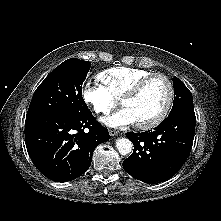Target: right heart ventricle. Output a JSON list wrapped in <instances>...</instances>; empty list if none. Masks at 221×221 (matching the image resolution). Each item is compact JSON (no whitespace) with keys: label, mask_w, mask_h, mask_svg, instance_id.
I'll list each match as a JSON object with an SVG mask.
<instances>
[{"label":"right heart ventricle","mask_w":221,"mask_h":221,"mask_svg":"<svg viewBox=\"0 0 221 221\" xmlns=\"http://www.w3.org/2000/svg\"><path fill=\"white\" fill-rule=\"evenodd\" d=\"M146 69L135 67H113L100 72L98 80L114 99H121L142 77L150 74Z\"/></svg>","instance_id":"obj_1"}]
</instances>
